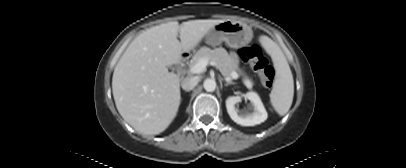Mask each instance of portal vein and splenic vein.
Wrapping results in <instances>:
<instances>
[{
  "label": "portal vein and splenic vein",
  "mask_w": 406,
  "mask_h": 168,
  "mask_svg": "<svg viewBox=\"0 0 406 168\" xmlns=\"http://www.w3.org/2000/svg\"><path fill=\"white\" fill-rule=\"evenodd\" d=\"M208 58H202V59H200L195 65H193L191 68H190V73H192V74H199V73H201V72H203L205 69H206V66L208 65ZM231 78H233V79H237L238 78V74L236 73V72H232V74H231ZM228 79H230V78H228ZM247 86L249 87V88H251L252 87V84L251 83H247Z\"/></svg>",
  "instance_id": "obj_1"
}]
</instances>
